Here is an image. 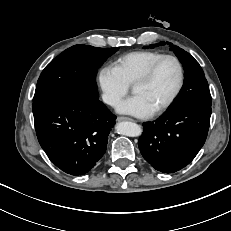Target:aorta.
Instances as JSON below:
<instances>
[{
    "instance_id": "aorta-1",
    "label": "aorta",
    "mask_w": 231,
    "mask_h": 231,
    "mask_svg": "<svg viewBox=\"0 0 231 231\" xmlns=\"http://www.w3.org/2000/svg\"><path fill=\"white\" fill-rule=\"evenodd\" d=\"M116 132L129 137H137L142 134L141 127L133 122H120L116 125Z\"/></svg>"
}]
</instances>
